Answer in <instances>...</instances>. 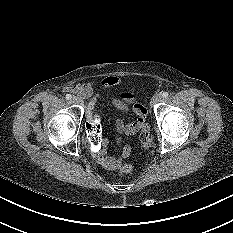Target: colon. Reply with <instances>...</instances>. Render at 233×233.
<instances>
[{
  "instance_id": "obj_1",
  "label": "colon",
  "mask_w": 233,
  "mask_h": 233,
  "mask_svg": "<svg viewBox=\"0 0 233 233\" xmlns=\"http://www.w3.org/2000/svg\"><path fill=\"white\" fill-rule=\"evenodd\" d=\"M100 119V114L97 111H92L89 114L88 119L85 122V129L88 133V145L89 150L92 153H97L100 150V139L101 130L100 125H98ZM140 142L143 148L147 149L152 143L149 125L143 120L140 126ZM119 172L122 174H130L132 172V167L125 164L119 168Z\"/></svg>"
}]
</instances>
